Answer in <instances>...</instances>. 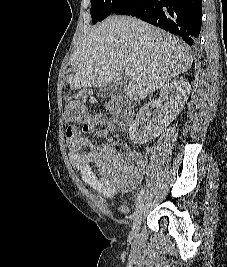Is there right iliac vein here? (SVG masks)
<instances>
[{
    "mask_svg": "<svg viewBox=\"0 0 227 267\" xmlns=\"http://www.w3.org/2000/svg\"><path fill=\"white\" fill-rule=\"evenodd\" d=\"M146 201V197H144L140 203L137 205L136 211L134 213V217H133V224H132V228L130 231V236L132 238L136 237L138 235L139 232V226H140V222H141V218H142V214H143V210H144V204Z\"/></svg>",
    "mask_w": 227,
    "mask_h": 267,
    "instance_id": "63e3f726",
    "label": "right iliac vein"
}]
</instances>
